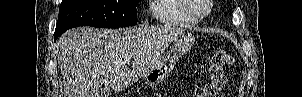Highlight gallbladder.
I'll use <instances>...</instances> for the list:
<instances>
[{
  "label": "gallbladder",
  "mask_w": 302,
  "mask_h": 97,
  "mask_svg": "<svg viewBox=\"0 0 302 97\" xmlns=\"http://www.w3.org/2000/svg\"><path fill=\"white\" fill-rule=\"evenodd\" d=\"M109 95H110V88L107 86L102 88L100 92V97H108Z\"/></svg>",
  "instance_id": "gallbladder-1"
}]
</instances>
